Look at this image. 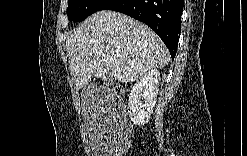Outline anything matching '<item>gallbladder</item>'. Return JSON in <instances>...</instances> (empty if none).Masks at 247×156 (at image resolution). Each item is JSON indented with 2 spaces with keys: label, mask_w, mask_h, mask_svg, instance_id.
<instances>
[{
  "label": "gallbladder",
  "mask_w": 247,
  "mask_h": 156,
  "mask_svg": "<svg viewBox=\"0 0 247 156\" xmlns=\"http://www.w3.org/2000/svg\"><path fill=\"white\" fill-rule=\"evenodd\" d=\"M113 81V78H111L110 76H106V77H104V82L106 83V84H109V83H111Z\"/></svg>",
  "instance_id": "bac80fb5"
}]
</instances>
